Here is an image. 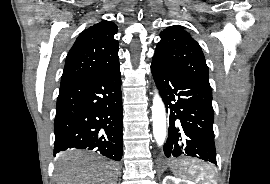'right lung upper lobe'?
Masks as SVG:
<instances>
[{
	"instance_id": "obj_1",
	"label": "right lung upper lobe",
	"mask_w": 270,
	"mask_h": 184,
	"mask_svg": "<svg viewBox=\"0 0 270 184\" xmlns=\"http://www.w3.org/2000/svg\"><path fill=\"white\" fill-rule=\"evenodd\" d=\"M116 33V24L106 20L85 29L66 57L61 84L118 67Z\"/></svg>"
}]
</instances>
